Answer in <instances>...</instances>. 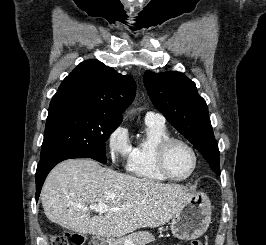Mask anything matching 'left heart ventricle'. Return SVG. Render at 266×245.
Listing matches in <instances>:
<instances>
[{"mask_svg": "<svg viewBox=\"0 0 266 245\" xmlns=\"http://www.w3.org/2000/svg\"><path fill=\"white\" fill-rule=\"evenodd\" d=\"M166 161L169 171L176 178L186 177L194 166L193 153L181 143H174L169 148Z\"/></svg>", "mask_w": 266, "mask_h": 245, "instance_id": "left-heart-ventricle-1", "label": "left heart ventricle"}]
</instances>
